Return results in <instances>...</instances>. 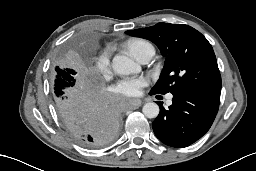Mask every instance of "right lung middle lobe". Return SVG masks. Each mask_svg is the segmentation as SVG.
Instances as JSON below:
<instances>
[{
	"mask_svg": "<svg viewBox=\"0 0 256 171\" xmlns=\"http://www.w3.org/2000/svg\"><path fill=\"white\" fill-rule=\"evenodd\" d=\"M51 81L56 108L72 100L83 90L81 84L76 82V71L69 67L67 57L57 61L51 73Z\"/></svg>",
	"mask_w": 256,
	"mask_h": 171,
	"instance_id": "dd1d6c3e",
	"label": "right lung middle lobe"
}]
</instances>
